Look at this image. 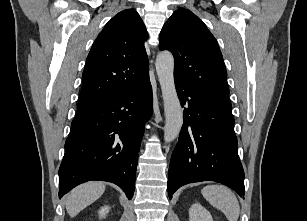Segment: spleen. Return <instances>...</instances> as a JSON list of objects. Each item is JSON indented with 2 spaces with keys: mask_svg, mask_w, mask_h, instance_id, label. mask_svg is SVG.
Returning a JSON list of instances; mask_svg holds the SVG:
<instances>
[{
  "mask_svg": "<svg viewBox=\"0 0 307 221\" xmlns=\"http://www.w3.org/2000/svg\"><path fill=\"white\" fill-rule=\"evenodd\" d=\"M203 197L215 208L221 210L229 221H237L239 202L234 193L223 185H208L202 189Z\"/></svg>",
  "mask_w": 307,
  "mask_h": 221,
  "instance_id": "spleen-1",
  "label": "spleen"
}]
</instances>
